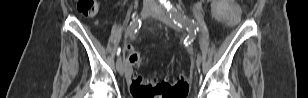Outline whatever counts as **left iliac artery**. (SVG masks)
Masks as SVG:
<instances>
[{"mask_svg":"<svg viewBox=\"0 0 308 98\" xmlns=\"http://www.w3.org/2000/svg\"><path fill=\"white\" fill-rule=\"evenodd\" d=\"M166 8H167L170 18H172L174 23L177 24L178 26L186 27L189 30H194L195 34H196V31L198 32L199 30H201L202 35L210 34L209 30L211 29V26L209 24H204L203 28L201 25L196 26V23L194 22V20H191L190 18L183 15L170 3L166 5Z\"/></svg>","mask_w":308,"mask_h":98,"instance_id":"44dca946","label":"left iliac artery"}]
</instances>
